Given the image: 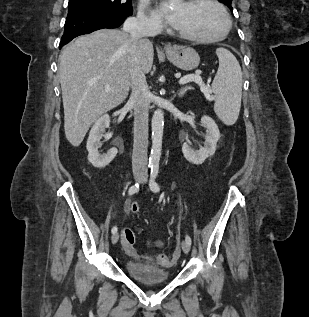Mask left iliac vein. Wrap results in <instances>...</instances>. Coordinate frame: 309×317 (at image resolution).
Instances as JSON below:
<instances>
[{
  "label": "left iliac vein",
  "mask_w": 309,
  "mask_h": 317,
  "mask_svg": "<svg viewBox=\"0 0 309 317\" xmlns=\"http://www.w3.org/2000/svg\"><path fill=\"white\" fill-rule=\"evenodd\" d=\"M141 181H142V183H146V182H147V175H144V176L142 177ZM181 247H182V250H183V252H184L185 254H188V253H189V251H190V244H189L186 240L182 241Z\"/></svg>",
  "instance_id": "4c4485c4"
}]
</instances>
